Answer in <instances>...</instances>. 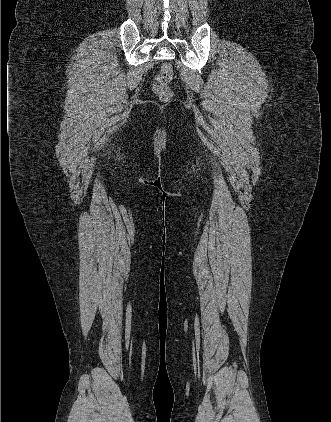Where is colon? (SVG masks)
Segmentation results:
<instances>
[{"label":"colon","mask_w":331,"mask_h":422,"mask_svg":"<svg viewBox=\"0 0 331 422\" xmlns=\"http://www.w3.org/2000/svg\"><path fill=\"white\" fill-rule=\"evenodd\" d=\"M173 76V68L169 63H163L153 83V91L161 101H169L173 92L169 87Z\"/></svg>","instance_id":"1"}]
</instances>
